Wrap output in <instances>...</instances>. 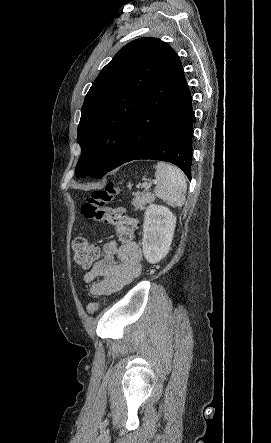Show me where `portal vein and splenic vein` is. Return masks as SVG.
<instances>
[{
    "mask_svg": "<svg viewBox=\"0 0 271 443\" xmlns=\"http://www.w3.org/2000/svg\"><path fill=\"white\" fill-rule=\"evenodd\" d=\"M152 182H154V184H157V180H152ZM152 182H144V186H146V190H149Z\"/></svg>",
    "mask_w": 271,
    "mask_h": 443,
    "instance_id": "obj_1",
    "label": "portal vein and splenic vein"
}]
</instances>
